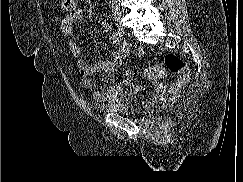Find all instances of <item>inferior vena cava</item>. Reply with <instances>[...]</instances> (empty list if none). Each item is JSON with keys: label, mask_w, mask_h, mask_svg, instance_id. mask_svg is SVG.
Masks as SVG:
<instances>
[{"label": "inferior vena cava", "mask_w": 243, "mask_h": 182, "mask_svg": "<svg viewBox=\"0 0 243 182\" xmlns=\"http://www.w3.org/2000/svg\"><path fill=\"white\" fill-rule=\"evenodd\" d=\"M110 5H111L113 15H119L120 8H119L118 0H110Z\"/></svg>", "instance_id": "602c4592"}]
</instances>
